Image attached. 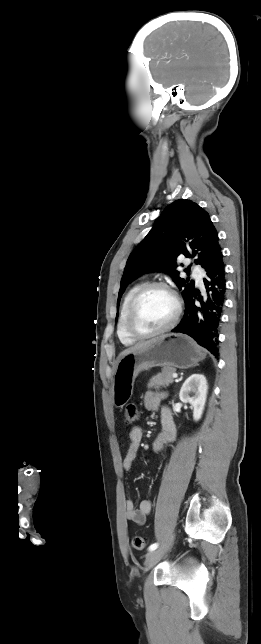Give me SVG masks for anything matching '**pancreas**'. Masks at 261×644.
Returning <instances> with one entry per match:
<instances>
[{
	"label": "pancreas",
	"instance_id": "cf45deb5",
	"mask_svg": "<svg viewBox=\"0 0 261 644\" xmlns=\"http://www.w3.org/2000/svg\"><path fill=\"white\" fill-rule=\"evenodd\" d=\"M176 372L174 368L171 367H164L160 373L157 375L153 376L147 387L148 388H156L159 389L160 387H167L169 384L173 383V374Z\"/></svg>",
	"mask_w": 261,
	"mask_h": 644
}]
</instances>
